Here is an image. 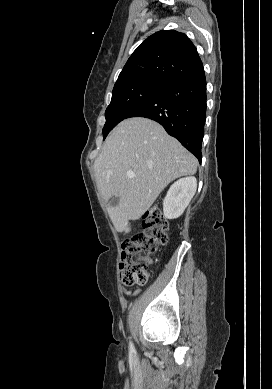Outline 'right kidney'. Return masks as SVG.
I'll return each instance as SVG.
<instances>
[{
	"instance_id": "right-kidney-1",
	"label": "right kidney",
	"mask_w": 272,
	"mask_h": 389,
	"mask_svg": "<svg viewBox=\"0 0 272 389\" xmlns=\"http://www.w3.org/2000/svg\"><path fill=\"white\" fill-rule=\"evenodd\" d=\"M197 189L195 177H185L176 181L168 190L163 201V212L167 219L180 217L189 205Z\"/></svg>"
}]
</instances>
